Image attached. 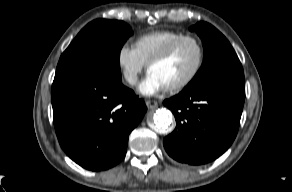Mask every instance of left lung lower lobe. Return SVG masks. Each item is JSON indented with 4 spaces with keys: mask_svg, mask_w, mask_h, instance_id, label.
<instances>
[{
    "mask_svg": "<svg viewBox=\"0 0 292 192\" xmlns=\"http://www.w3.org/2000/svg\"><path fill=\"white\" fill-rule=\"evenodd\" d=\"M245 99V81L220 80L184 89L165 100L177 121L164 138L166 152L191 165L222 155L234 141Z\"/></svg>",
    "mask_w": 292,
    "mask_h": 192,
    "instance_id": "obj_1",
    "label": "left lung lower lobe"
}]
</instances>
